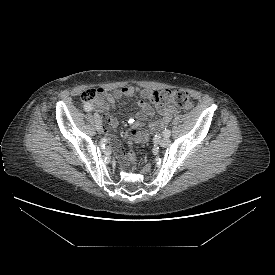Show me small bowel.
Wrapping results in <instances>:
<instances>
[{"instance_id":"1","label":"small bowel","mask_w":275,"mask_h":275,"mask_svg":"<svg viewBox=\"0 0 275 275\" xmlns=\"http://www.w3.org/2000/svg\"><path fill=\"white\" fill-rule=\"evenodd\" d=\"M98 92L101 101L93 103V106L104 114V119L111 129L117 128L119 121L116 117L108 115V111L114 109L118 99L139 94L141 99L137 104L140 110L136 114V118L140 124L142 122H148L147 127L143 128L136 138V141L140 143L147 141L155 131L166 127L176 113V108L173 105H166L164 103H157L155 108H153L147 102L152 92L149 89L124 86L111 92L105 89H98ZM114 149L116 156L120 160L126 158L124 147L120 143H117Z\"/></svg>"}]
</instances>
